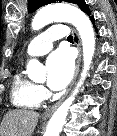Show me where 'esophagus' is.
Wrapping results in <instances>:
<instances>
[{
    "label": "esophagus",
    "mask_w": 117,
    "mask_h": 136,
    "mask_svg": "<svg viewBox=\"0 0 117 136\" xmlns=\"http://www.w3.org/2000/svg\"><path fill=\"white\" fill-rule=\"evenodd\" d=\"M72 34H73V40H74V43L78 49V56H77V60H76V66H75V72H74V76H73V79L71 81V84H70V87L69 89L66 91L65 95L62 97V99L58 102H56L55 104H53L52 106H50L49 108H47L43 114H42V117H49L52 115V113L56 110V108L59 106V104L61 103V101L65 98V96L68 94V92L70 91L71 87L73 86L75 80H76V77L78 75V72H79V66H80V61H81V43H80V38H79V35L78 33L73 29L72 30Z\"/></svg>",
    "instance_id": "34e87169"
}]
</instances>
